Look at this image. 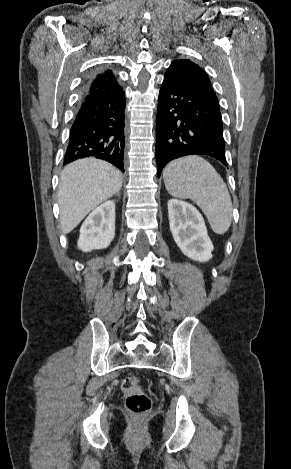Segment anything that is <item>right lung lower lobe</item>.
Here are the masks:
<instances>
[{"instance_id": "obj_1", "label": "right lung lower lobe", "mask_w": 291, "mask_h": 469, "mask_svg": "<svg viewBox=\"0 0 291 469\" xmlns=\"http://www.w3.org/2000/svg\"><path fill=\"white\" fill-rule=\"evenodd\" d=\"M84 83L70 130L64 165L85 157L106 160L121 171L125 148V94L120 86L86 90Z\"/></svg>"}]
</instances>
